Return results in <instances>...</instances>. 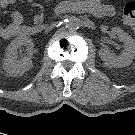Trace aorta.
Segmentation results:
<instances>
[{"instance_id": "aorta-1", "label": "aorta", "mask_w": 135, "mask_h": 135, "mask_svg": "<svg viewBox=\"0 0 135 135\" xmlns=\"http://www.w3.org/2000/svg\"><path fill=\"white\" fill-rule=\"evenodd\" d=\"M65 26L68 29H77L80 26V19L76 16H68L65 19Z\"/></svg>"}]
</instances>
